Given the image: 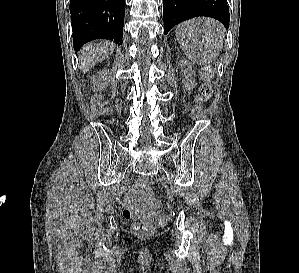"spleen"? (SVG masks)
<instances>
[{"label":"spleen","instance_id":"1","mask_svg":"<svg viewBox=\"0 0 299 273\" xmlns=\"http://www.w3.org/2000/svg\"><path fill=\"white\" fill-rule=\"evenodd\" d=\"M176 39L186 57L197 65L217 59L223 47L225 29L214 19L194 18L176 27Z\"/></svg>","mask_w":299,"mask_h":273}]
</instances>
